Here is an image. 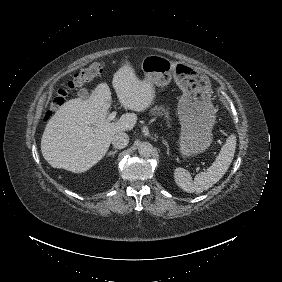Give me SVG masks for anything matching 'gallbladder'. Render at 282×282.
<instances>
[{
	"label": "gallbladder",
	"mask_w": 282,
	"mask_h": 282,
	"mask_svg": "<svg viewBox=\"0 0 282 282\" xmlns=\"http://www.w3.org/2000/svg\"><path fill=\"white\" fill-rule=\"evenodd\" d=\"M78 98L82 101V102H87L89 101L90 98V93L86 88H81L78 91Z\"/></svg>",
	"instance_id": "bac80fb5"
}]
</instances>
